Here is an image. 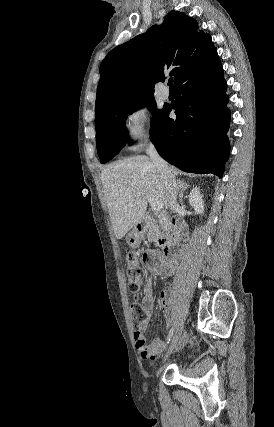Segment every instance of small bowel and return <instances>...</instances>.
I'll list each match as a JSON object with an SVG mask.
<instances>
[{
    "mask_svg": "<svg viewBox=\"0 0 274 427\" xmlns=\"http://www.w3.org/2000/svg\"><path fill=\"white\" fill-rule=\"evenodd\" d=\"M146 264L149 270L160 276L172 275L176 269L177 261L171 256L167 255L166 251L160 253L155 249H148L144 254ZM162 299V310L166 318L167 323L170 322V310H169V292L163 291L161 294ZM141 306L144 311V318L135 324V341L139 350L140 356L143 359H155L158 355L165 351L167 343L164 339L159 338L148 344L143 333L147 330L150 325L151 318L154 312V296L153 287L150 280H147L143 287V298Z\"/></svg>",
    "mask_w": 274,
    "mask_h": 427,
    "instance_id": "c3829d8e",
    "label": "small bowel"
}]
</instances>
